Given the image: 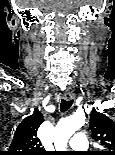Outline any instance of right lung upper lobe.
<instances>
[{"instance_id":"cb5924a9","label":"right lung upper lobe","mask_w":115,"mask_h":155,"mask_svg":"<svg viewBox=\"0 0 115 155\" xmlns=\"http://www.w3.org/2000/svg\"><path fill=\"white\" fill-rule=\"evenodd\" d=\"M44 122L42 113L35 108L16 128L7 155H46L37 137L39 126Z\"/></svg>"}]
</instances>
